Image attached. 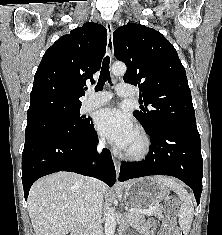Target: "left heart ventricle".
Masks as SVG:
<instances>
[{"mask_svg":"<svg viewBox=\"0 0 222 235\" xmlns=\"http://www.w3.org/2000/svg\"><path fill=\"white\" fill-rule=\"evenodd\" d=\"M141 145V139L138 134L135 132L133 138L131 139L129 145L127 146L126 150H134L139 148Z\"/></svg>","mask_w":222,"mask_h":235,"instance_id":"left-heart-ventricle-1","label":"left heart ventricle"}]
</instances>
